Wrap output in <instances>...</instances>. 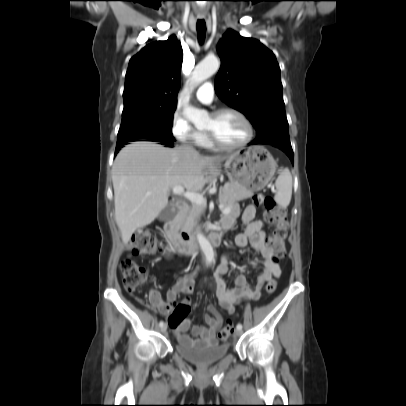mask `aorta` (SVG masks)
I'll return each mask as SVG.
<instances>
[{
	"label": "aorta",
	"mask_w": 406,
	"mask_h": 406,
	"mask_svg": "<svg viewBox=\"0 0 406 406\" xmlns=\"http://www.w3.org/2000/svg\"><path fill=\"white\" fill-rule=\"evenodd\" d=\"M220 67V61L215 56L206 57L194 69L190 78V89L198 86L209 77L214 75ZM184 116L192 122L196 128L203 127L209 120L208 113L204 110L197 109L190 105H186L183 109ZM197 240L202 252L205 255L206 264L210 265L214 260V250L206 237L198 232Z\"/></svg>",
	"instance_id": "762f6f07"
}]
</instances>
